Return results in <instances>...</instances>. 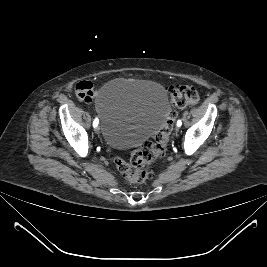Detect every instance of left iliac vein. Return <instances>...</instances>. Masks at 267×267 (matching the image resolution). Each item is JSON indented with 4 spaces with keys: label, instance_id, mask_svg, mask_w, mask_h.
I'll list each match as a JSON object with an SVG mask.
<instances>
[{
    "label": "left iliac vein",
    "instance_id": "1",
    "mask_svg": "<svg viewBox=\"0 0 267 267\" xmlns=\"http://www.w3.org/2000/svg\"><path fill=\"white\" fill-rule=\"evenodd\" d=\"M175 131H176V132L179 131V126H176Z\"/></svg>",
    "mask_w": 267,
    "mask_h": 267
}]
</instances>
